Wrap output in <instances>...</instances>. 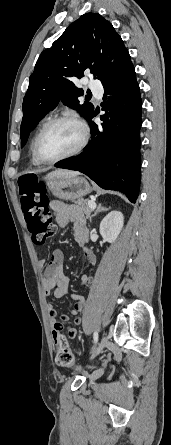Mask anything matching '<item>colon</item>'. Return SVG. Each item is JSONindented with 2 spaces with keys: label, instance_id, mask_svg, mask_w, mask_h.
<instances>
[{
  "label": "colon",
  "instance_id": "obj_1",
  "mask_svg": "<svg viewBox=\"0 0 171 445\" xmlns=\"http://www.w3.org/2000/svg\"><path fill=\"white\" fill-rule=\"evenodd\" d=\"M20 204L32 239L37 245H44L54 236L56 227L52 223L46 185L32 175L18 181ZM56 347V362L63 367L75 365L74 356L65 337L60 334Z\"/></svg>",
  "mask_w": 171,
  "mask_h": 445
}]
</instances>
